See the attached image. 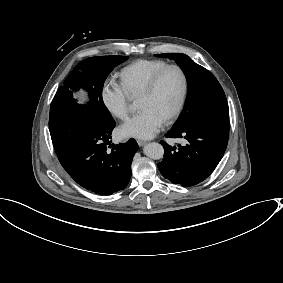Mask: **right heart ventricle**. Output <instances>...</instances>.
I'll list each match as a JSON object with an SVG mask.
<instances>
[{
  "instance_id": "1",
  "label": "right heart ventricle",
  "mask_w": 283,
  "mask_h": 283,
  "mask_svg": "<svg viewBox=\"0 0 283 283\" xmlns=\"http://www.w3.org/2000/svg\"><path fill=\"white\" fill-rule=\"evenodd\" d=\"M169 63L163 59H138L119 71L120 82L130 97L140 94L147 81Z\"/></svg>"
}]
</instances>
